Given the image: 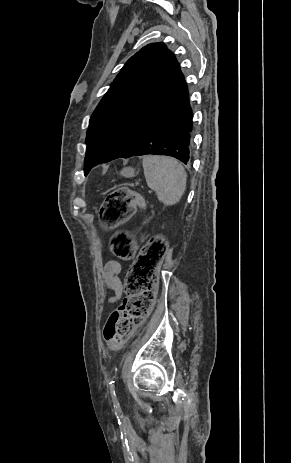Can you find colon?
Returning a JSON list of instances; mask_svg holds the SVG:
<instances>
[{
  "mask_svg": "<svg viewBox=\"0 0 291 463\" xmlns=\"http://www.w3.org/2000/svg\"><path fill=\"white\" fill-rule=\"evenodd\" d=\"M140 194L119 187L105 198L100 209V220L105 227H114L125 222L137 207H143ZM135 245L131 235L118 231L111 238L112 253L128 260L134 253ZM167 250L163 237H152L140 250L129 269L124 283L126 297L109 316L104 327L106 344L119 348L129 337L134 326L140 324L151 312L156 290L157 273Z\"/></svg>",
  "mask_w": 291,
  "mask_h": 463,
  "instance_id": "1",
  "label": "colon"
}]
</instances>
